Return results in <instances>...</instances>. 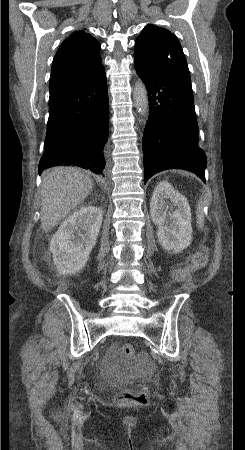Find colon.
I'll use <instances>...</instances> for the list:
<instances>
[{"label": "colon", "mask_w": 245, "mask_h": 450, "mask_svg": "<svg viewBox=\"0 0 245 450\" xmlns=\"http://www.w3.org/2000/svg\"><path fill=\"white\" fill-rule=\"evenodd\" d=\"M206 254L207 249L203 248L192 257L190 262L178 267L174 272L175 280L182 281L193 271L202 268L206 263ZM120 353L124 358H131L134 354V349L130 344H123L120 348ZM149 396V389L145 385L136 384L120 392L116 396V400L145 404L149 400Z\"/></svg>", "instance_id": "1"}]
</instances>
